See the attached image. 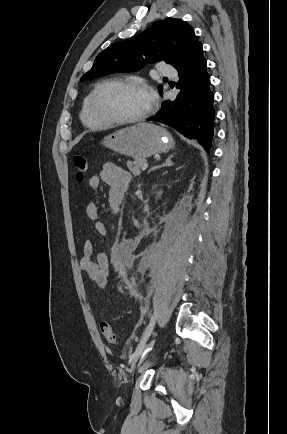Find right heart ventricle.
I'll return each mask as SVG.
<instances>
[{"label": "right heart ventricle", "mask_w": 287, "mask_h": 434, "mask_svg": "<svg viewBox=\"0 0 287 434\" xmlns=\"http://www.w3.org/2000/svg\"><path fill=\"white\" fill-rule=\"evenodd\" d=\"M91 93H92V91L89 92L85 96V98H84V100L82 102L81 110H80V118H81V121L86 126H89V127H101V126H103V124L100 121L96 120L92 116V114L90 112V109H89V100H90Z\"/></svg>", "instance_id": "obj_1"}]
</instances>
